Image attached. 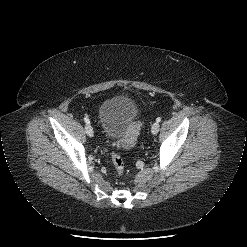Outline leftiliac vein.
I'll return each mask as SVG.
<instances>
[{"label": "left iliac vein", "instance_id": "4c4485c4", "mask_svg": "<svg viewBox=\"0 0 247 247\" xmlns=\"http://www.w3.org/2000/svg\"><path fill=\"white\" fill-rule=\"evenodd\" d=\"M159 127H160V125L158 122L153 123V125L151 127V132L153 135H156L159 132Z\"/></svg>", "mask_w": 247, "mask_h": 247}]
</instances>
